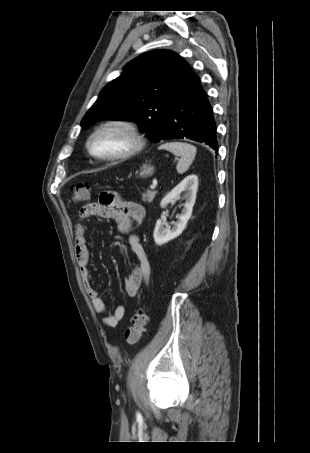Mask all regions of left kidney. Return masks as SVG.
Wrapping results in <instances>:
<instances>
[{
  "label": "left kidney",
  "mask_w": 310,
  "mask_h": 453,
  "mask_svg": "<svg viewBox=\"0 0 310 453\" xmlns=\"http://www.w3.org/2000/svg\"><path fill=\"white\" fill-rule=\"evenodd\" d=\"M198 189V178L196 175H189L182 180L171 192H169L162 200L161 207H166L169 203L174 202L182 192H185V203L181 215L178 217L177 222L173 227L165 225L162 220H157L153 237L157 245H163L172 239L178 237L186 228L187 222L192 215L193 206L196 201V194Z\"/></svg>",
  "instance_id": "5707ae66"
}]
</instances>
